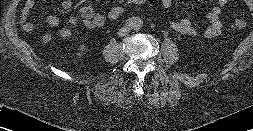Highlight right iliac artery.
<instances>
[{"mask_svg":"<svg viewBox=\"0 0 253 131\" xmlns=\"http://www.w3.org/2000/svg\"><path fill=\"white\" fill-rule=\"evenodd\" d=\"M131 23H132V22H131L130 20H127V21H126V25H129V26H130Z\"/></svg>","mask_w":253,"mask_h":131,"instance_id":"1","label":"right iliac artery"}]
</instances>
